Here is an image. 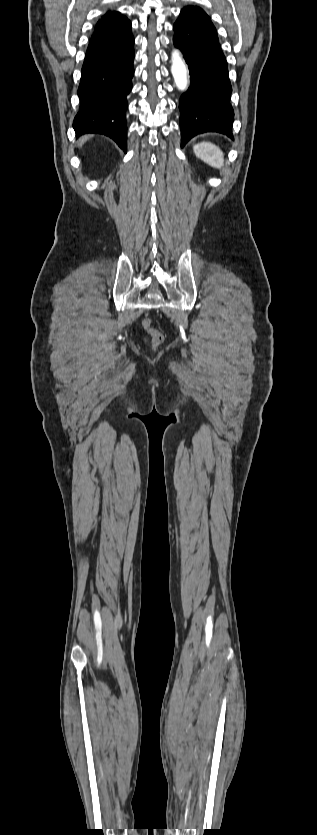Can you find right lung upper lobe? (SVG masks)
<instances>
[{"mask_svg": "<svg viewBox=\"0 0 317 835\" xmlns=\"http://www.w3.org/2000/svg\"><path fill=\"white\" fill-rule=\"evenodd\" d=\"M95 32L115 42L131 34V22L119 12H107L97 22Z\"/></svg>", "mask_w": 317, "mask_h": 835, "instance_id": "obj_1", "label": "right lung upper lobe"}]
</instances>
